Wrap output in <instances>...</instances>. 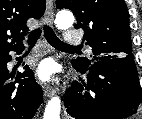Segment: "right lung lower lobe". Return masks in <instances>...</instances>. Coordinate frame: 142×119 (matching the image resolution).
<instances>
[{
	"label": "right lung lower lobe",
	"instance_id": "right-lung-lower-lobe-1",
	"mask_svg": "<svg viewBox=\"0 0 142 119\" xmlns=\"http://www.w3.org/2000/svg\"><path fill=\"white\" fill-rule=\"evenodd\" d=\"M22 50L23 47L10 51ZM10 51L0 53V119H31L42 102V90L28 65L24 66L23 74L18 72L14 83H6L10 78L7 70ZM22 76L27 78L18 79Z\"/></svg>",
	"mask_w": 142,
	"mask_h": 119
}]
</instances>
